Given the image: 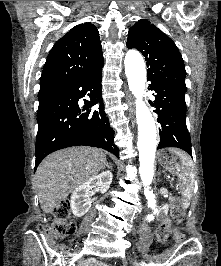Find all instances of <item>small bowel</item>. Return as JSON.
<instances>
[{"instance_id": "obj_1", "label": "small bowel", "mask_w": 221, "mask_h": 266, "mask_svg": "<svg viewBox=\"0 0 221 266\" xmlns=\"http://www.w3.org/2000/svg\"><path fill=\"white\" fill-rule=\"evenodd\" d=\"M89 266H111V265L107 262L93 260V261H90Z\"/></svg>"}]
</instances>
